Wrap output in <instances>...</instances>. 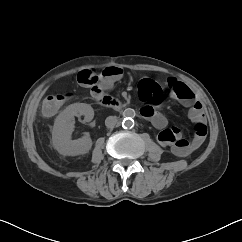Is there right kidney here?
<instances>
[{"label": "right kidney", "mask_w": 242, "mask_h": 242, "mask_svg": "<svg viewBox=\"0 0 242 242\" xmlns=\"http://www.w3.org/2000/svg\"><path fill=\"white\" fill-rule=\"evenodd\" d=\"M84 116L85 122H90L94 117V110L86 103H74L64 109L55 119L52 130V144L64 156H77L89 152L92 140L88 135L72 140V120L74 116Z\"/></svg>", "instance_id": "1"}]
</instances>
